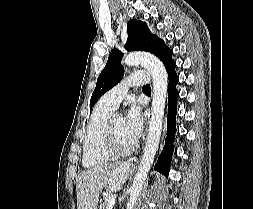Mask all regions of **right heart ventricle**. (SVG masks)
Wrapping results in <instances>:
<instances>
[{"label": "right heart ventricle", "mask_w": 253, "mask_h": 209, "mask_svg": "<svg viewBox=\"0 0 253 209\" xmlns=\"http://www.w3.org/2000/svg\"><path fill=\"white\" fill-rule=\"evenodd\" d=\"M113 111L114 108L102 100L94 107L83 138L82 164L86 168L98 167L111 159L102 149V138L104 127Z\"/></svg>", "instance_id": "right-heart-ventricle-1"}]
</instances>
